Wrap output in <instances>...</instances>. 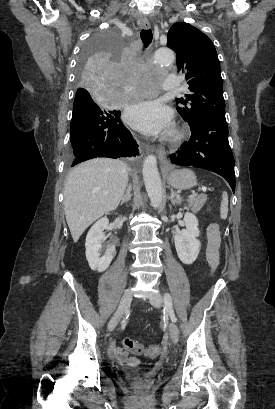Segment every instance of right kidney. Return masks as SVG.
I'll return each instance as SVG.
<instances>
[{
    "label": "right kidney",
    "mask_w": 275,
    "mask_h": 409,
    "mask_svg": "<svg viewBox=\"0 0 275 409\" xmlns=\"http://www.w3.org/2000/svg\"><path fill=\"white\" fill-rule=\"evenodd\" d=\"M114 225L115 227H113V229H121L123 225L121 217L116 219ZM105 229H109V221L107 217H103V219H100V221H97V223L91 227L90 231L87 233L85 243V255L89 267L92 271H98V273L106 271L116 255L115 245H111V247H108L103 257H100V247L105 237L103 233Z\"/></svg>",
    "instance_id": "obj_1"
}]
</instances>
